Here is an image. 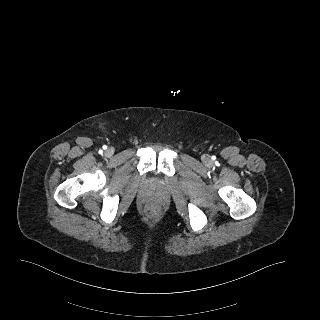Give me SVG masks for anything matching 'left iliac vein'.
Here are the masks:
<instances>
[{"mask_svg":"<svg viewBox=\"0 0 320 320\" xmlns=\"http://www.w3.org/2000/svg\"><path fill=\"white\" fill-rule=\"evenodd\" d=\"M204 161H205V163H209L210 162V160L208 158H205Z\"/></svg>","mask_w":320,"mask_h":320,"instance_id":"left-iliac-vein-1","label":"left iliac vein"}]
</instances>
